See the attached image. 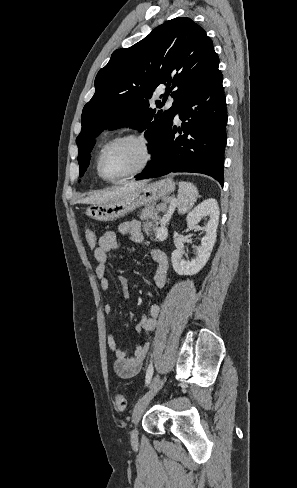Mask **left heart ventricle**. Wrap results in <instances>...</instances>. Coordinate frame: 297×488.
Returning a JSON list of instances; mask_svg holds the SVG:
<instances>
[{
    "label": "left heart ventricle",
    "mask_w": 297,
    "mask_h": 488,
    "mask_svg": "<svg viewBox=\"0 0 297 488\" xmlns=\"http://www.w3.org/2000/svg\"><path fill=\"white\" fill-rule=\"evenodd\" d=\"M145 152L140 142L122 141L112 146L103 159L106 176L116 177L135 169L144 159Z\"/></svg>",
    "instance_id": "obj_1"
}]
</instances>
